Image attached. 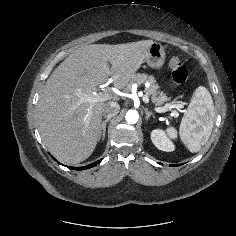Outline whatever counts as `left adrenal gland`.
Instances as JSON below:
<instances>
[{"instance_id": "1", "label": "left adrenal gland", "mask_w": 236, "mask_h": 236, "mask_svg": "<svg viewBox=\"0 0 236 236\" xmlns=\"http://www.w3.org/2000/svg\"><path fill=\"white\" fill-rule=\"evenodd\" d=\"M145 113H146V117L145 120L146 122L149 120V118L152 116L153 118H155V115L153 114V112L149 111L147 108L144 109Z\"/></svg>"}]
</instances>
